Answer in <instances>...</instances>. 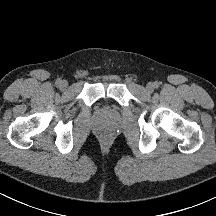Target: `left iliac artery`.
Here are the masks:
<instances>
[{"label":"left iliac artery","instance_id":"left-iliac-artery-1","mask_svg":"<svg viewBox=\"0 0 216 216\" xmlns=\"http://www.w3.org/2000/svg\"><path fill=\"white\" fill-rule=\"evenodd\" d=\"M159 86V84L158 83H155V87L157 88Z\"/></svg>","mask_w":216,"mask_h":216}]
</instances>
